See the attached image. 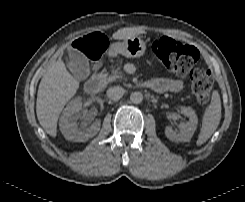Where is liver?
<instances>
[{
	"mask_svg": "<svg viewBox=\"0 0 245 202\" xmlns=\"http://www.w3.org/2000/svg\"><path fill=\"white\" fill-rule=\"evenodd\" d=\"M143 33L136 27L122 28L113 34V38L122 40ZM78 88L79 82L67 71L61 59L50 64L39 84L36 102L38 121L50 136L56 137L60 113Z\"/></svg>",
	"mask_w": 245,
	"mask_h": 202,
	"instance_id": "6515ba94",
	"label": "liver"
}]
</instances>
